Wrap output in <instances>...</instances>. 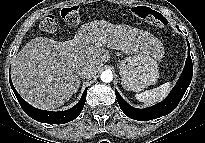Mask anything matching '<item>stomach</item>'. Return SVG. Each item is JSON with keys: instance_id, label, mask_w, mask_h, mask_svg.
<instances>
[{"instance_id": "stomach-1", "label": "stomach", "mask_w": 205, "mask_h": 143, "mask_svg": "<svg viewBox=\"0 0 205 143\" xmlns=\"http://www.w3.org/2000/svg\"><path fill=\"white\" fill-rule=\"evenodd\" d=\"M157 56L152 51H143L119 61L122 86L126 90L140 92L155 84L160 76Z\"/></svg>"}]
</instances>
